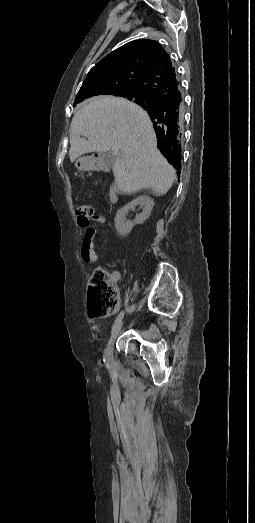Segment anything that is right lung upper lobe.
<instances>
[{
    "label": "right lung upper lobe",
    "mask_w": 255,
    "mask_h": 523,
    "mask_svg": "<svg viewBox=\"0 0 255 523\" xmlns=\"http://www.w3.org/2000/svg\"><path fill=\"white\" fill-rule=\"evenodd\" d=\"M130 90L147 93L154 99L153 107L164 101L178 100L181 103V110L176 116L180 133L175 138L171 137L181 144L183 101L179 81L170 56L156 41H132L108 54L89 71L75 103L116 96ZM137 104L141 106V102ZM151 109H144L149 116ZM150 119L156 132V123L151 117ZM157 144L168 162L178 171L181 166V148L169 155L165 152L164 145L158 142Z\"/></svg>",
    "instance_id": "1"
}]
</instances>
